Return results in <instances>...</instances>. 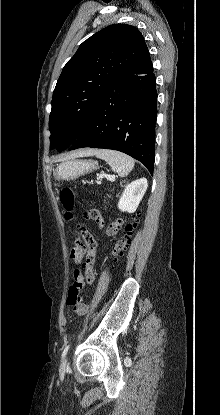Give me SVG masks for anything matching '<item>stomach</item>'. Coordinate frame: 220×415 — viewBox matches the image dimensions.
Returning a JSON list of instances; mask_svg holds the SVG:
<instances>
[{
  "label": "stomach",
  "instance_id": "obj_1",
  "mask_svg": "<svg viewBox=\"0 0 220 415\" xmlns=\"http://www.w3.org/2000/svg\"><path fill=\"white\" fill-rule=\"evenodd\" d=\"M97 167L96 161L73 159L61 163L56 170V176L60 179H75L96 170Z\"/></svg>",
  "mask_w": 220,
  "mask_h": 415
}]
</instances>
